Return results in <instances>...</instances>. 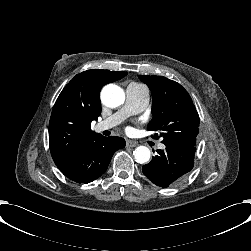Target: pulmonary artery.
<instances>
[{
	"mask_svg": "<svg viewBox=\"0 0 251 251\" xmlns=\"http://www.w3.org/2000/svg\"><path fill=\"white\" fill-rule=\"evenodd\" d=\"M148 101V94L145 89L135 82L130 83L126 87V102L123 108L107 119L97 123L94 126V131L101 133L119 125L128 116L142 112L148 105ZM158 147L164 149L165 146L159 143Z\"/></svg>",
	"mask_w": 251,
	"mask_h": 251,
	"instance_id": "obj_1",
	"label": "pulmonary artery"
}]
</instances>
